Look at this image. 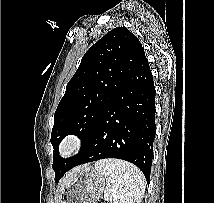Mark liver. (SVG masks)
Listing matches in <instances>:
<instances>
[{
  "instance_id": "obj_1",
  "label": "liver",
  "mask_w": 214,
  "mask_h": 203,
  "mask_svg": "<svg viewBox=\"0 0 214 203\" xmlns=\"http://www.w3.org/2000/svg\"><path fill=\"white\" fill-rule=\"evenodd\" d=\"M81 168H82L81 166L77 167L65 175V177L60 182V190H62L65 186L72 182L73 178L77 175Z\"/></svg>"
}]
</instances>
